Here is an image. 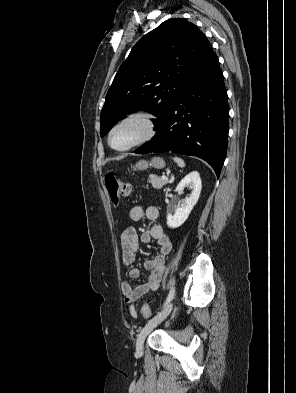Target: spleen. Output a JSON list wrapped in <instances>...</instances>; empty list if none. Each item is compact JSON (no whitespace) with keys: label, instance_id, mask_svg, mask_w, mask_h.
<instances>
[{"label":"spleen","instance_id":"3e777b00","mask_svg":"<svg viewBox=\"0 0 296 393\" xmlns=\"http://www.w3.org/2000/svg\"><path fill=\"white\" fill-rule=\"evenodd\" d=\"M173 160L175 161V163H177V165H178L179 167H184V166H185V163H184V161H183L181 158H179V157H174Z\"/></svg>","mask_w":296,"mask_h":393}]
</instances>
